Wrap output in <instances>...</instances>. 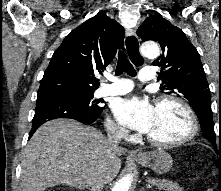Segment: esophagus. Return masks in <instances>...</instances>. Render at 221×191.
Wrapping results in <instances>:
<instances>
[{
	"label": "esophagus",
	"instance_id": "obj_1",
	"mask_svg": "<svg viewBox=\"0 0 221 191\" xmlns=\"http://www.w3.org/2000/svg\"><path fill=\"white\" fill-rule=\"evenodd\" d=\"M125 48L127 53L129 54L130 60L136 66H140L144 59L140 55V42L134 31H127L125 34ZM140 153H136L135 156H139Z\"/></svg>",
	"mask_w": 221,
	"mask_h": 191
}]
</instances>
